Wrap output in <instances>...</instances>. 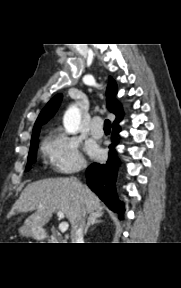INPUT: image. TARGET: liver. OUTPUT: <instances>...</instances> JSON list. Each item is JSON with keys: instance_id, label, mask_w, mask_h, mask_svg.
Listing matches in <instances>:
<instances>
[{"instance_id": "liver-1", "label": "liver", "mask_w": 181, "mask_h": 288, "mask_svg": "<svg viewBox=\"0 0 181 288\" xmlns=\"http://www.w3.org/2000/svg\"><path fill=\"white\" fill-rule=\"evenodd\" d=\"M102 209L100 199L87 186L74 178L43 179L30 183L20 194L8 217L34 211L25 226L42 231L55 211H62L71 227L88 212Z\"/></svg>"}]
</instances>
